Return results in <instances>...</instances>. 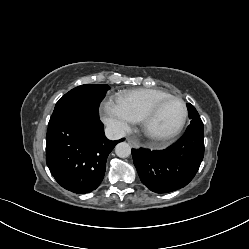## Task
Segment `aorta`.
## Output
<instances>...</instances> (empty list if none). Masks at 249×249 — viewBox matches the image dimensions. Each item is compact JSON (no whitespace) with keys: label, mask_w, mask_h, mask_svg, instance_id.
I'll list each match as a JSON object with an SVG mask.
<instances>
[{"label":"aorta","mask_w":249,"mask_h":249,"mask_svg":"<svg viewBox=\"0 0 249 249\" xmlns=\"http://www.w3.org/2000/svg\"><path fill=\"white\" fill-rule=\"evenodd\" d=\"M115 153L120 158H126L131 154V147L126 142L118 143L115 147Z\"/></svg>","instance_id":"obj_1"}]
</instances>
